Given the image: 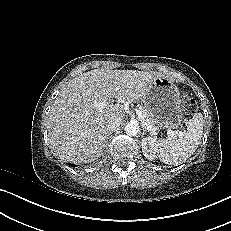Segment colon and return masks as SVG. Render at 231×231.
<instances>
[{
    "label": "colon",
    "mask_w": 231,
    "mask_h": 231,
    "mask_svg": "<svg viewBox=\"0 0 231 231\" xmlns=\"http://www.w3.org/2000/svg\"><path fill=\"white\" fill-rule=\"evenodd\" d=\"M182 105L184 112L188 115H191L196 111L195 101L186 93L182 94Z\"/></svg>",
    "instance_id": "colon-1"
}]
</instances>
